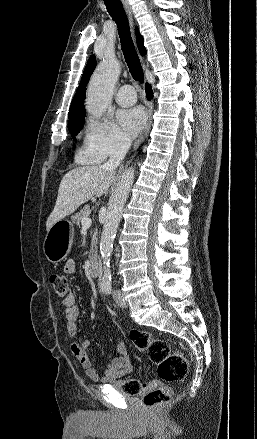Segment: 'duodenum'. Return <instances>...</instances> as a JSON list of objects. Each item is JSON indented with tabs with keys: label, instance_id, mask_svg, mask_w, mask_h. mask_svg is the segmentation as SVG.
I'll use <instances>...</instances> for the list:
<instances>
[{
	"label": "duodenum",
	"instance_id": "1",
	"mask_svg": "<svg viewBox=\"0 0 257 439\" xmlns=\"http://www.w3.org/2000/svg\"><path fill=\"white\" fill-rule=\"evenodd\" d=\"M88 270L90 275L97 276L100 273V263L96 255H92L89 261Z\"/></svg>",
	"mask_w": 257,
	"mask_h": 439
}]
</instances>
